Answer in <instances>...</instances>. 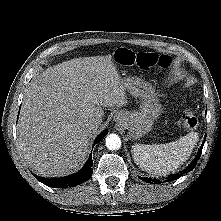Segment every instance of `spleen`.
<instances>
[{
	"label": "spleen",
	"mask_w": 221,
	"mask_h": 221,
	"mask_svg": "<svg viewBox=\"0 0 221 221\" xmlns=\"http://www.w3.org/2000/svg\"><path fill=\"white\" fill-rule=\"evenodd\" d=\"M198 134L190 132L174 142L165 144H134L132 154L134 162L144 171L165 176L177 170L191 155Z\"/></svg>",
	"instance_id": "3e777b00"
}]
</instances>
